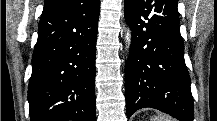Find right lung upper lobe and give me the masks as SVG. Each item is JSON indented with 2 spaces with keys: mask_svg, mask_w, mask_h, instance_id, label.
Segmentation results:
<instances>
[{
  "mask_svg": "<svg viewBox=\"0 0 217 121\" xmlns=\"http://www.w3.org/2000/svg\"><path fill=\"white\" fill-rule=\"evenodd\" d=\"M76 1L77 0H45L43 10L68 5L71 3H75Z\"/></svg>",
  "mask_w": 217,
  "mask_h": 121,
  "instance_id": "1",
  "label": "right lung upper lobe"
}]
</instances>
